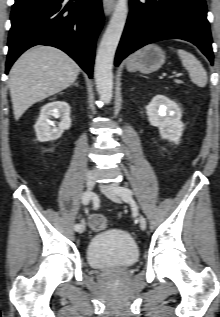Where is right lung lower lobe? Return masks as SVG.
<instances>
[{
	"label": "right lung lower lobe",
	"instance_id": "right-lung-lower-lobe-1",
	"mask_svg": "<svg viewBox=\"0 0 220 317\" xmlns=\"http://www.w3.org/2000/svg\"><path fill=\"white\" fill-rule=\"evenodd\" d=\"M63 1L15 0L6 73L28 48L49 45L66 52L92 77L95 41L103 24L101 0Z\"/></svg>",
	"mask_w": 220,
	"mask_h": 317
}]
</instances>
